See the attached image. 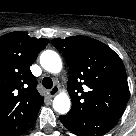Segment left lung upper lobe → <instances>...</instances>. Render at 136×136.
<instances>
[{
	"label": "left lung upper lobe",
	"instance_id": "left-lung-upper-lobe-1",
	"mask_svg": "<svg viewBox=\"0 0 136 136\" xmlns=\"http://www.w3.org/2000/svg\"><path fill=\"white\" fill-rule=\"evenodd\" d=\"M52 44L69 67L67 90L72 108L68 114L122 117L129 87L120 57L104 43L86 36L56 38Z\"/></svg>",
	"mask_w": 136,
	"mask_h": 136
}]
</instances>
